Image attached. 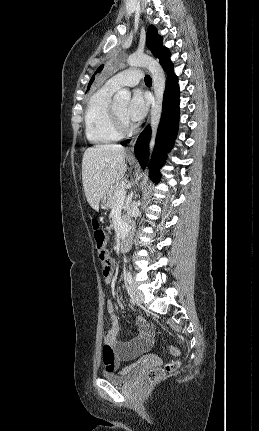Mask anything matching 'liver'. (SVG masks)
Masks as SVG:
<instances>
[{
    "mask_svg": "<svg viewBox=\"0 0 259 431\" xmlns=\"http://www.w3.org/2000/svg\"><path fill=\"white\" fill-rule=\"evenodd\" d=\"M125 148L115 144L86 149L82 159V182L89 205L99 209L101 199L125 176Z\"/></svg>",
    "mask_w": 259,
    "mask_h": 431,
    "instance_id": "1",
    "label": "liver"
}]
</instances>
